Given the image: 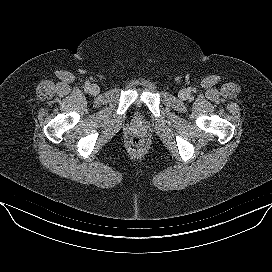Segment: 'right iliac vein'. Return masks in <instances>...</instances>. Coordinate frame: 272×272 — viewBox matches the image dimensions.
Instances as JSON below:
<instances>
[{"label": "right iliac vein", "mask_w": 272, "mask_h": 272, "mask_svg": "<svg viewBox=\"0 0 272 272\" xmlns=\"http://www.w3.org/2000/svg\"><path fill=\"white\" fill-rule=\"evenodd\" d=\"M89 91L92 95H97L99 93L100 89L97 85L93 84L89 87Z\"/></svg>", "instance_id": "1"}]
</instances>
